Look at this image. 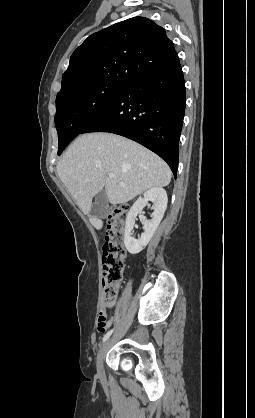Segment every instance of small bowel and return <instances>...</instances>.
Listing matches in <instances>:
<instances>
[{
	"instance_id": "c3829d8e",
	"label": "small bowel",
	"mask_w": 255,
	"mask_h": 418,
	"mask_svg": "<svg viewBox=\"0 0 255 418\" xmlns=\"http://www.w3.org/2000/svg\"><path fill=\"white\" fill-rule=\"evenodd\" d=\"M111 322H112V319H109L107 322H106V326H105V329L111 324ZM104 329V330H105ZM104 330H100V331H104Z\"/></svg>"
}]
</instances>
